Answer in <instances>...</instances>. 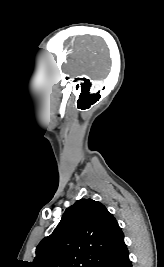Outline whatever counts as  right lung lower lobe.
<instances>
[{
  "mask_svg": "<svg viewBox=\"0 0 164 267\" xmlns=\"http://www.w3.org/2000/svg\"><path fill=\"white\" fill-rule=\"evenodd\" d=\"M98 267H132L127 247L110 255Z\"/></svg>",
  "mask_w": 164,
  "mask_h": 267,
  "instance_id": "1",
  "label": "right lung lower lobe"
}]
</instances>
